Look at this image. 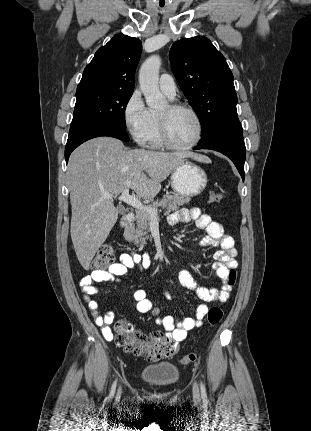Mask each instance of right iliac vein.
Listing matches in <instances>:
<instances>
[{
    "mask_svg": "<svg viewBox=\"0 0 311 431\" xmlns=\"http://www.w3.org/2000/svg\"><path fill=\"white\" fill-rule=\"evenodd\" d=\"M120 395H121V388L118 390L117 395H116V398H119V397H120Z\"/></svg>",
    "mask_w": 311,
    "mask_h": 431,
    "instance_id": "right-iliac-vein-1",
    "label": "right iliac vein"
}]
</instances>
